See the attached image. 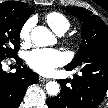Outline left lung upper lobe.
Segmentation results:
<instances>
[{
  "label": "left lung upper lobe",
  "mask_w": 108,
  "mask_h": 108,
  "mask_svg": "<svg viewBox=\"0 0 108 108\" xmlns=\"http://www.w3.org/2000/svg\"><path fill=\"white\" fill-rule=\"evenodd\" d=\"M71 14L83 21L81 27L82 42L74 59L67 65L69 67L82 66L84 64L103 65L108 64V27L103 20L93 15L90 10L82 7L65 8ZM77 92L72 91L70 98Z\"/></svg>",
  "instance_id": "left-lung-upper-lobe-1"
}]
</instances>
